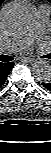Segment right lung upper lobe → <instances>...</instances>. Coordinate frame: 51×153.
I'll use <instances>...</instances> for the list:
<instances>
[{
  "mask_svg": "<svg viewBox=\"0 0 51 153\" xmlns=\"http://www.w3.org/2000/svg\"><path fill=\"white\" fill-rule=\"evenodd\" d=\"M4 0H0V5H1V3L3 2Z\"/></svg>",
  "mask_w": 51,
  "mask_h": 153,
  "instance_id": "obj_1",
  "label": "right lung upper lobe"
}]
</instances>
